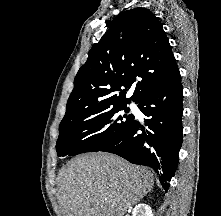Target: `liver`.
Here are the masks:
<instances>
[{"instance_id": "obj_1", "label": "liver", "mask_w": 221, "mask_h": 216, "mask_svg": "<svg viewBox=\"0 0 221 216\" xmlns=\"http://www.w3.org/2000/svg\"><path fill=\"white\" fill-rule=\"evenodd\" d=\"M153 173L107 153L71 159L58 174L63 216H124L152 190Z\"/></svg>"}]
</instances>
